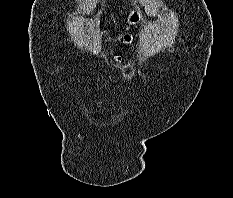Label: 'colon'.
Instances as JSON below:
<instances>
[{
  "label": "colon",
  "mask_w": 233,
  "mask_h": 198,
  "mask_svg": "<svg viewBox=\"0 0 233 198\" xmlns=\"http://www.w3.org/2000/svg\"><path fill=\"white\" fill-rule=\"evenodd\" d=\"M139 16L136 12H130L127 15V22L130 26H135L138 22Z\"/></svg>",
  "instance_id": "5ec220e1"
}]
</instances>
